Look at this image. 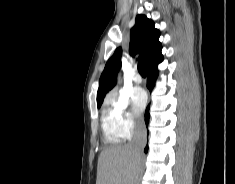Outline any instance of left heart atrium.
I'll return each instance as SVG.
<instances>
[{"instance_id":"1","label":"left heart atrium","mask_w":235,"mask_h":184,"mask_svg":"<svg viewBox=\"0 0 235 184\" xmlns=\"http://www.w3.org/2000/svg\"><path fill=\"white\" fill-rule=\"evenodd\" d=\"M146 100H147L146 94L142 89L137 88L132 93L131 95L132 108L137 116L141 114L146 104Z\"/></svg>"}]
</instances>
